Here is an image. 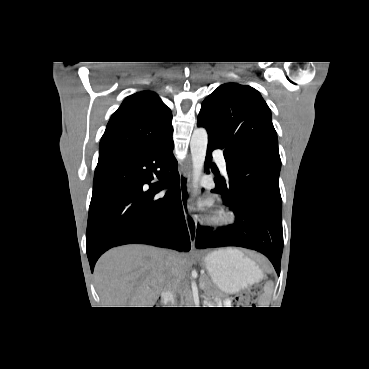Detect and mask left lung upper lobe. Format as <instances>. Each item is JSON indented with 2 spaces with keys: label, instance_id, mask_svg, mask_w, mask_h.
Wrapping results in <instances>:
<instances>
[{
  "label": "left lung upper lobe",
  "instance_id": "5c2ea615",
  "mask_svg": "<svg viewBox=\"0 0 369 369\" xmlns=\"http://www.w3.org/2000/svg\"><path fill=\"white\" fill-rule=\"evenodd\" d=\"M197 124L224 149L229 181L255 182L280 193L277 133L257 90L237 83L219 86L203 101Z\"/></svg>",
  "mask_w": 369,
  "mask_h": 369
}]
</instances>
